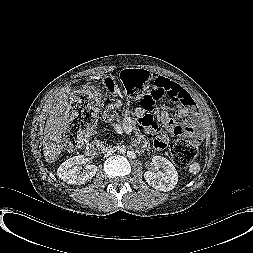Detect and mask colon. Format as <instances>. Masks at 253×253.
Returning <instances> with one entry per match:
<instances>
[{
  "instance_id": "colon-1",
  "label": "colon",
  "mask_w": 253,
  "mask_h": 253,
  "mask_svg": "<svg viewBox=\"0 0 253 253\" xmlns=\"http://www.w3.org/2000/svg\"><path fill=\"white\" fill-rule=\"evenodd\" d=\"M121 81L127 96L138 100L145 110H151L157 102H185L179 97L176 83L161 76H156L143 69H126L121 73ZM99 101L87 88L74 93L70 111L65 146L74 152L85 142L89 128L96 121ZM173 162L179 168H186L197 154L196 137L179 138L170 147Z\"/></svg>"
}]
</instances>
